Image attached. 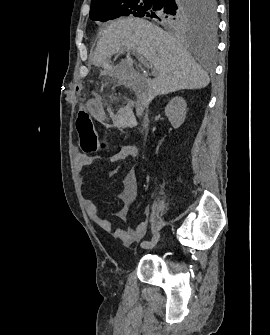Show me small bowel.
<instances>
[{"label":"small bowel","instance_id":"small-bowel-1","mask_svg":"<svg viewBox=\"0 0 270 335\" xmlns=\"http://www.w3.org/2000/svg\"><path fill=\"white\" fill-rule=\"evenodd\" d=\"M94 100L88 102V107L92 108L93 116L97 119L104 117L102 111L93 108ZM138 156V149L135 145H125L117 153L112 155L110 162L115 163L127 158H136ZM97 160L96 156L87 154H78L76 157V170L84 178L85 170ZM124 189L120 195V200L123 207L116 211L114 215L122 220L128 218L130 206L137 198L139 184L137 174L134 168H130L123 179ZM86 210L91 220L98 225L103 231L111 233L119 238L125 245H130L140 241L146 234L148 223L146 221L139 222L133 229L122 230L114 229L110 220L102 218L99 215L97 206L92 201H86ZM147 214V212H146Z\"/></svg>","mask_w":270,"mask_h":335}]
</instances>
